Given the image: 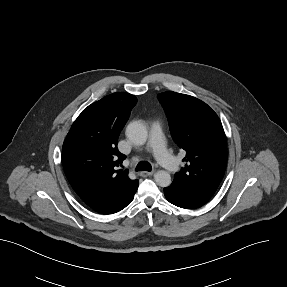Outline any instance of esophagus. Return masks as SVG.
<instances>
[{"label":"esophagus","instance_id":"obj_1","mask_svg":"<svg viewBox=\"0 0 287 287\" xmlns=\"http://www.w3.org/2000/svg\"><path fill=\"white\" fill-rule=\"evenodd\" d=\"M154 173H155V171H150V172H148V171H142V172L140 173V176H142V177H147V176L153 175Z\"/></svg>","mask_w":287,"mask_h":287}]
</instances>
